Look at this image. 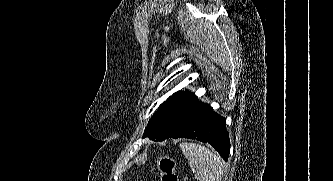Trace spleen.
Masks as SVG:
<instances>
[{"label": "spleen", "instance_id": "obj_1", "mask_svg": "<svg viewBox=\"0 0 333 181\" xmlns=\"http://www.w3.org/2000/svg\"><path fill=\"white\" fill-rule=\"evenodd\" d=\"M180 148L190 167L196 170L197 181H220L223 162L219 156L201 144L183 142Z\"/></svg>", "mask_w": 333, "mask_h": 181}]
</instances>
